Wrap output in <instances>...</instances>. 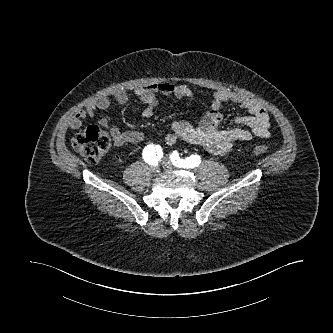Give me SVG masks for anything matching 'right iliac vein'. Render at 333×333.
<instances>
[{"label": "right iliac vein", "mask_w": 333, "mask_h": 333, "mask_svg": "<svg viewBox=\"0 0 333 333\" xmlns=\"http://www.w3.org/2000/svg\"><path fill=\"white\" fill-rule=\"evenodd\" d=\"M158 167L157 166H154L153 168H152V171L154 172V173H156V172H158Z\"/></svg>", "instance_id": "63e3f726"}]
</instances>
